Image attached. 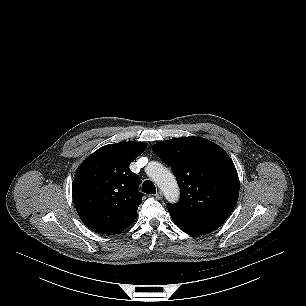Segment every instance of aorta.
I'll return each mask as SVG.
<instances>
[{"label":"aorta","instance_id":"1","mask_svg":"<svg viewBox=\"0 0 306 306\" xmlns=\"http://www.w3.org/2000/svg\"><path fill=\"white\" fill-rule=\"evenodd\" d=\"M147 174L162 190L169 202L175 203L179 199V187L175 176L162 164L151 162L147 167Z\"/></svg>","mask_w":306,"mask_h":306}]
</instances>
